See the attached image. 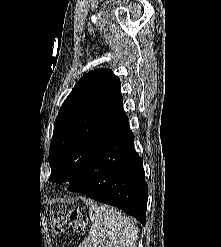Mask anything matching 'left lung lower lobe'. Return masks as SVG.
<instances>
[{
    "label": "left lung lower lobe",
    "mask_w": 221,
    "mask_h": 247,
    "mask_svg": "<svg viewBox=\"0 0 221 247\" xmlns=\"http://www.w3.org/2000/svg\"><path fill=\"white\" fill-rule=\"evenodd\" d=\"M133 142L127 117L108 127L69 190L116 206L145 225L148 186Z\"/></svg>",
    "instance_id": "1"
}]
</instances>
